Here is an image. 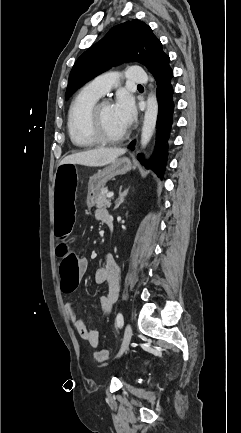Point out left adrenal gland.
Wrapping results in <instances>:
<instances>
[{
    "instance_id": "1",
    "label": "left adrenal gland",
    "mask_w": 241,
    "mask_h": 433,
    "mask_svg": "<svg viewBox=\"0 0 241 433\" xmlns=\"http://www.w3.org/2000/svg\"><path fill=\"white\" fill-rule=\"evenodd\" d=\"M129 189H126L125 191L122 192V186L120 187L119 190V198L116 200V205L114 207V209H117L125 200V197L127 196Z\"/></svg>"
}]
</instances>
